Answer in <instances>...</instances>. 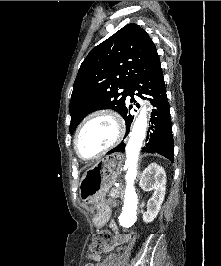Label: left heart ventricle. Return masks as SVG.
I'll use <instances>...</instances> for the list:
<instances>
[{"instance_id":"1","label":"left heart ventricle","mask_w":221,"mask_h":266,"mask_svg":"<svg viewBox=\"0 0 221 266\" xmlns=\"http://www.w3.org/2000/svg\"><path fill=\"white\" fill-rule=\"evenodd\" d=\"M117 133L114 121L108 116L90 120L79 137V149L84 156H92L108 146Z\"/></svg>"}]
</instances>
